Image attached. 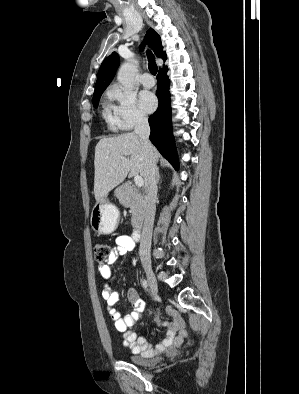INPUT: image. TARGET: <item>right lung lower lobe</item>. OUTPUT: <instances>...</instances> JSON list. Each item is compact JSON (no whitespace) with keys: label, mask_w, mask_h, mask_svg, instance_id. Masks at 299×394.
Returning <instances> with one entry per match:
<instances>
[{"label":"right lung lower lobe","mask_w":299,"mask_h":394,"mask_svg":"<svg viewBox=\"0 0 299 394\" xmlns=\"http://www.w3.org/2000/svg\"><path fill=\"white\" fill-rule=\"evenodd\" d=\"M166 73L167 68L164 67L163 70H159L157 75L156 95L159 99V106L149 118L151 128L150 140L159 152L178 169L179 163L172 135L170 82Z\"/></svg>","instance_id":"98d812e1"}]
</instances>
